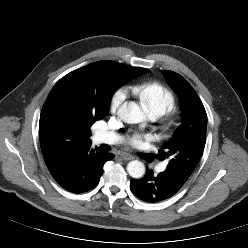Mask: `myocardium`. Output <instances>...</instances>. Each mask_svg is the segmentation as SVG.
<instances>
[{
    "mask_svg": "<svg viewBox=\"0 0 248 248\" xmlns=\"http://www.w3.org/2000/svg\"><path fill=\"white\" fill-rule=\"evenodd\" d=\"M162 130L165 134L173 132L179 124V116L175 112H168L162 116Z\"/></svg>",
    "mask_w": 248,
    "mask_h": 248,
    "instance_id": "obj_1",
    "label": "myocardium"
}]
</instances>
